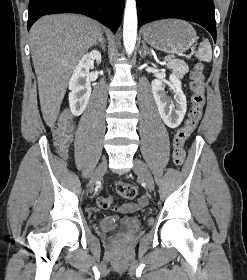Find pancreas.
<instances>
[{
  "mask_svg": "<svg viewBox=\"0 0 247 280\" xmlns=\"http://www.w3.org/2000/svg\"><path fill=\"white\" fill-rule=\"evenodd\" d=\"M166 66L167 68L172 69L173 73L179 78H183V76L189 71V67L186 63L179 59L169 60Z\"/></svg>",
  "mask_w": 247,
  "mask_h": 280,
  "instance_id": "obj_1",
  "label": "pancreas"
}]
</instances>
